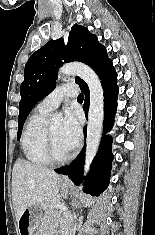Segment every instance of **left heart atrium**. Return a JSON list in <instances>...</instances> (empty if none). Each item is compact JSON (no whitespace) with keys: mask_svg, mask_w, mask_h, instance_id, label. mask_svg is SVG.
<instances>
[{"mask_svg":"<svg viewBox=\"0 0 155 235\" xmlns=\"http://www.w3.org/2000/svg\"><path fill=\"white\" fill-rule=\"evenodd\" d=\"M81 137L80 119L76 112L68 111L64 116L61 125V139L65 146L72 150L74 149Z\"/></svg>","mask_w":155,"mask_h":235,"instance_id":"left-heart-atrium-1","label":"left heart atrium"}]
</instances>
